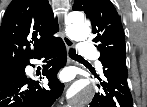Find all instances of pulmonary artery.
I'll list each match as a JSON object with an SVG mask.
<instances>
[{
  "instance_id": "1",
  "label": "pulmonary artery",
  "mask_w": 147,
  "mask_h": 107,
  "mask_svg": "<svg viewBox=\"0 0 147 107\" xmlns=\"http://www.w3.org/2000/svg\"><path fill=\"white\" fill-rule=\"evenodd\" d=\"M77 52L81 56L96 57L95 47L85 42L78 43ZM96 65L99 69L102 68V64L99 61L96 62Z\"/></svg>"
}]
</instances>
